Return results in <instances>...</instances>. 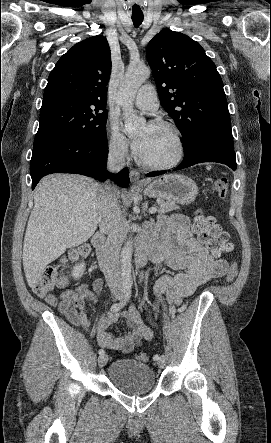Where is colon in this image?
I'll return each instance as SVG.
<instances>
[{
    "mask_svg": "<svg viewBox=\"0 0 271 443\" xmlns=\"http://www.w3.org/2000/svg\"><path fill=\"white\" fill-rule=\"evenodd\" d=\"M210 189L219 198L224 199L227 194V183L224 179H217L212 183ZM192 228L200 243L213 255L220 256L232 249V243L229 240L228 233L222 230L214 217L198 212L194 216ZM89 252L90 247L88 245H82L71 251L69 259L86 256ZM236 275L237 266L235 263H232L227 273V281L232 282ZM66 282V276L60 272L58 267L47 266L33 283L32 289L38 297L45 298L49 296L53 289L63 287ZM136 358L141 362H147L149 360V356L146 353H140Z\"/></svg>",
    "mask_w": 271,
    "mask_h": 443,
    "instance_id": "5ec220e1",
    "label": "colon"
}]
</instances>
